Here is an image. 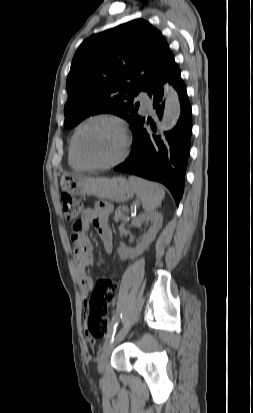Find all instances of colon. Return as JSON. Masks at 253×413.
Masks as SVG:
<instances>
[{
	"mask_svg": "<svg viewBox=\"0 0 253 413\" xmlns=\"http://www.w3.org/2000/svg\"><path fill=\"white\" fill-rule=\"evenodd\" d=\"M63 213L68 221H76L80 210V202L69 194H62ZM117 282L109 277L100 278L87 301V329L90 341L104 337L109 330L108 307L115 300Z\"/></svg>",
	"mask_w": 253,
	"mask_h": 413,
	"instance_id": "1",
	"label": "colon"
}]
</instances>
